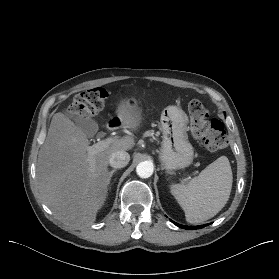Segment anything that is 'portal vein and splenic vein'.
Returning <instances> with one entry per match:
<instances>
[{
	"mask_svg": "<svg viewBox=\"0 0 279 279\" xmlns=\"http://www.w3.org/2000/svg\"><path fill=\"white\" fill-rule=\"evenodd\" d=\"M116 141L117 140L114 138H107L105 140H101V141L97 142L96 144L89 146L87 148V152L89 155H94L95 153L107 148L108 146H110L111 144H113Z\"/></svg>",
	"mask_w": 279,
	"mask_h": 279,
	"instance_id": "18ae733b",
	"label": "portal vein and splenic vein"
}]
</instances>
